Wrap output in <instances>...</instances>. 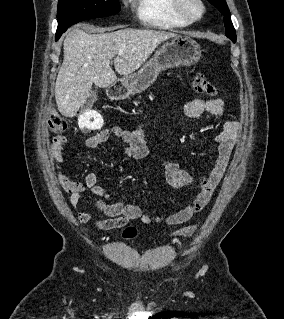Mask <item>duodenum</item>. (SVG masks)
<instances>
[{"label":"duodenum","mask_w":284,"mask_h":319,"mask_svg":"<svg viewBox=\"0 0 284 319\" xmlns=\"http://www.w3.org/2000/svg\"><path fill=\"white\" fill-rule=\"evenodd\" d=\"M110 94L114 99H121L126 96L127 91L124 87L119 86L112 88Z\"/></svg>","instance_id":"410a0bca"}]
</instances>
